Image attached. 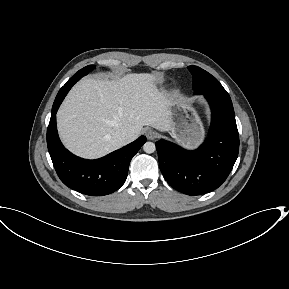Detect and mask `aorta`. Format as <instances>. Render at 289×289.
Wrapping results in <instances>:
<instances>
[{
	"instance_id": "762f6f07",
	"label": "aorta",
	"mask_w": 289,
	"mask_h": 289,
	"mask_svg": "<svg viewBox=\"0 0 289 289\" xmlns=\"http://www.w3.org/2000/svg\"><path fill=\"white\" fill-rule=\"evenodd\" d=\"M143 150L150 154V153H153L155 150H156V146L153 142H146L144 145H143Z\"/></svg>"
}]
</instances>
